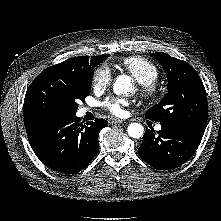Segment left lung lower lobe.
Masks as SVG:
<instances>
[{"mask_svg":"<svg viewBox=\"0 0 221 221\" xmlns=\"http://www.w3.org/2000/svg\"><path fill=\"white\" fill-rule=\"evenodd\" d=\"M203 134L185 128L165 126L157 133L146 129L138 152L141 158L155 169H173L194 154Z\"/></svg>","mask_w":221,"mask_h":221,"instance_id":"1","label":"left lung lower lobe"}]
</instances>
